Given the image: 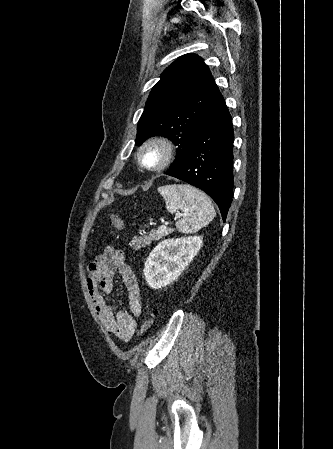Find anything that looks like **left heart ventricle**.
I'll return each instance as SVG.
<instances>
[{
  "label": "left heart ventricle",
  "instance_id": "b2bd125f",
  "mask_svg": "<svg viewBox=\"0 0 333 449\" xmlns=\"http://www.w3.org/2000/svg\"><path fill=\"white\" fill-rule=\"evenodd\" d=\"M143 158L147 164H154L158 160V154L157 152L150 150L144 154Z\"/></svg>",
  "mask_w": 333,
  "mask_h": 449
}]
</instances>
